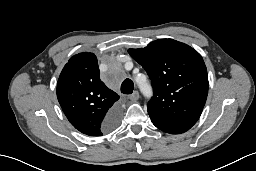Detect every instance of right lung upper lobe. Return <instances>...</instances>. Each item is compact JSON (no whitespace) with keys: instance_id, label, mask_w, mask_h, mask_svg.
Wrapping results in <instances>:
<instances>
[{"instance_id":"1","label":"right lung upper lobe","mask_w":256,"mask_h":171,"mask_svg":"<svg viewBox=\"0 0 256 171\" xmlns=\"http://www.w3.org/2000/svg\"><path fill=\"white\" fill-rule=\"evenodd\" d=\"M99 75L95 54L83 52L69 59L57 83V98L67 119L89 136H100L107 131L105 119L119 99Z\"/></svg>"}]
</instances>
